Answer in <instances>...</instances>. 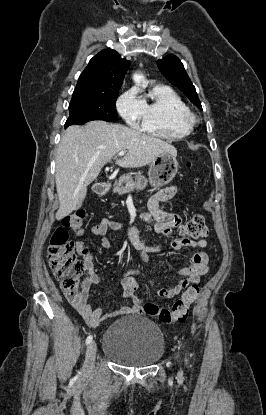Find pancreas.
Returning <instances> with one entry per match:
<instances>
[{
    "label": "pancreas",
    "instance_id": "cf45deb5",
    "mask_svg": "<svg viewBox=\"0 0 266 415\" xmlns=\"http://www.w3.org/2000/svg\"><path fill=\"white\" fill-rule=\"evenodd\" d=\"M136 185H137V181L133 179L131 174L124 175L120 177L118 181L115 182L113 193H118L119 195H123L130 190H134L136 188Z\"/></svg>",
    "mask_w": 266,
    "mask_h": 415
}]
</instances>
